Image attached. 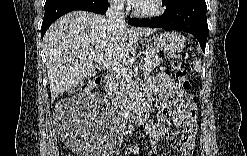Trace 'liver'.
I'll use <instances>...</instances> for the list:
<instances>
[{
  "instance_id": "liver-1",
  "label": "liver",
  "mask_w": 247,
  "mask_h": 156,
  "mask_svg": "<svg viewBox=\"0 0 247 156\" xmlns=\"http://www.w3.org/2000/svg\"><path fill=\"white\" fill-rule=\"evenodd\" d=\"M154 32V28L115 26L105 16L86 11L62 16L43 39L52 100L95 73L90 59L120 64L129 57L139 35Z\"/></svg>"
}]
</instances>
